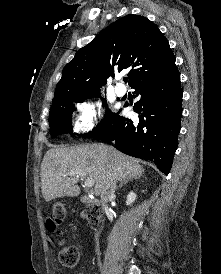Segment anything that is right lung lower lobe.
Returning a JSON list of instances; mask_svg holds the SVG:
<instances>
[{"label":"right lung lower lobe","mask_w":221,"mask_h":274,"mask_svg":"<svg viewBox=\"0 0 221 274\" xmlns=\"http://www.w3.org/2000/svg\"><path fill=\"white\" fill-rule=\"evenodd\" d=\"M140 100L134 111L137 121L118 114L94 139L110 141L121 152L153 161L168 175L181 128L182 89L175 58L157 71L136 81L132 86Z\"/></svg>","instance_id":"right-lung-lower-lobe-1"}]
</instances>
